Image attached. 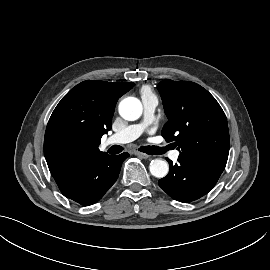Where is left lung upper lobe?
<instances>
[{
    "mask_svg": "<svg viewBox=\"0 0 270 270\" xmlns=\"http://www.w3.org/2000/svg\"><path fill=\"white\" fill-rule=\"evenodd\" d=\"M168 122L162 129L167 142L175 141L179 156L226 166L229 130L225 113L202 86L163 80L158 85Z\"/></svg>",
    "mask_w": 270,
    "mask_h": 270,
    "instance_id": "5c2ea615",
    "label": "left lung upper lobe"
}]
</instances>
